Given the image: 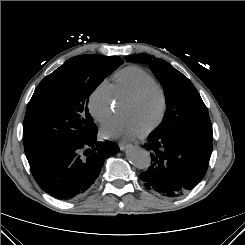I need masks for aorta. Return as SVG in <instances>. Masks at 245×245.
I'll use <instances>...</instances> for the list:
<instances>
[{
    "label": "aorta",
    "instance_id": "762f6f07",
    "mask_svg": "<svg viewBox=\"0 0 245 245\" xmlns=\"http://www.w3.org/2000/svg\"><path fill=\"white\" fill-rule=\"evenodd\" d=\"M129 162L138 169H147L151 163L150 153L140 146H129L126 150Z\"/></svg>",
    "mask_w": 245,
    "mask_h": 245
}]
</instances>
